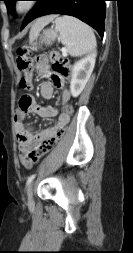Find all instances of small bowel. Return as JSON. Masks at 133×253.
Wrapping results in <instances>:
<instances>
[{
	"mask_svg": "<svg viewBox=\"0 0 133 253\" xmlns=\"http://www.w3.org/2000/svg\"><path fill=\"white\" fill-rule=\"evenodd\" d=\"M48 58L42 55L38 57L36 64L37 74L47 79L42 83L40 93L43 98L50 99L53 97L56 89L61 90L60 102L66 104L71 98V94L64 85V80L60 75L54 74L49 69ZM32 93H23L19 101V107L14 114V127L18 137V148L20 152V160L22 164L30 168L31 161L29 154L35 150L44 140L53 136L59 129L65 127L70 117L65 113L58 116L55 124L40 131H35L32 126L25 123L30 113L37 114L41 117L48 118L54 116L56 111L52 107L41 106L36 103L32 97Z\"/></svg>",
	"mask_w": 133,
	"mask_h": 253,
	"instance_id": "small-bowel-1",
	"label": "small bowel"
}]
</instances>
